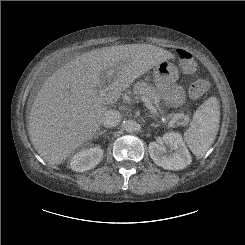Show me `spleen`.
<instances>
[{
	"label": "spleen",
	"mask_w": 245,
	"mask_h": 245,
	"mask_svg": "<svg viewBox=\"0 0 245 245\" xmlns=\"http://www.w3.org/2000/svg\"><path fill=\"white\" fill-rule=\"evenodd\" d=\"M220 105L216 97L208 98L196 110L184 139L197 157H203L213 144L219 130Z\"/></svg>",
	"instance_id": "obj_1"
}]
</instances>
